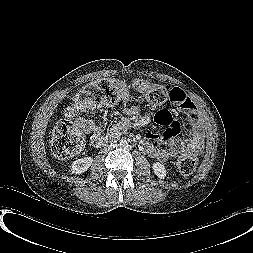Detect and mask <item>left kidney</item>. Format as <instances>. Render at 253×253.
<instances>
[{"mask_svg": "<svg viewBox=\"0 0 253 253\" xmlns=\"http://www.w3.org/2000/svg\"><path fill=\"white\" fill-rule=\"evenodd\" d=\"M152 168H153L155 175L158 178L164 179L166 177V169L163 164H161L159 162H155V163H153Z\"/></svg>", "mask_w": 253, "mask_h": 253, "instance_id": "left-kidney-1", "label": "left kidney"}]
</instances>
